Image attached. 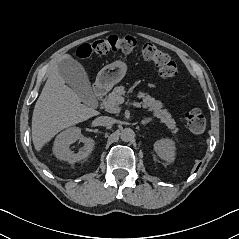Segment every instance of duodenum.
<instances>
[{"instance_id":"1","label":"duodenum","mask_w":239,"mask_h":239,"mask_svg":"<svg viewBox=\"0 0 239 239\" xmlns=\"http://www.w3.org/2000/svg\"><path fill=\"white\" fill-rule=\"evenodd\" d=\"M106 93V88L102 85H96L93 89L94 97L99 99Z\"/></svg>"}]
</instances>
